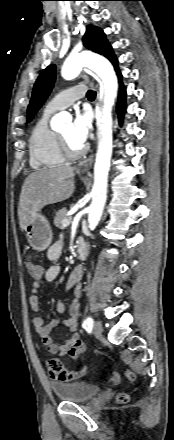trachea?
Segmentation results:
<instances>
[{
  "label": "trachea",
  "instance_id": "3493384b",
  "mask_svg": "<svg viewBox=\"0 0 174 440\" xmlns=\"http://www.w3.org/2000/svg\"><path fill=\"white\" fill-rule=\"evenodd\" d=\"M87 97H88V99L93 100L96 97V92L92 91V90H89L88 93H87Z\"/></svg>",
  "mask_w": 174,
  "mask_h": 440
}]
</instances>
